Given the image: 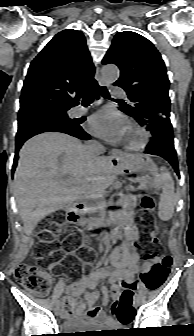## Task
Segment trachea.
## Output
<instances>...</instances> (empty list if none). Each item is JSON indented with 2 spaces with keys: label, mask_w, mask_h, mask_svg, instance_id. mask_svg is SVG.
I'll use <instances>...</instances> for the list:
<instances>
[{
  "label": "trachea",
  "mask_w": 194,
  "mask_h": 336,
  "mask_svg": "<svg viewBox=\"0 0 194 336\" xmlns=\"http://www.w3.org/2000/svg\"><path fill=\"white\" fill-rule=\"evenodd\" d=\"M100 94L105 98V99H110L109 92L105 86H102L100 89ZM93 101V97L88 95L83 98V103H91Z\"/></svg>",
  "instance_id": "trachea-1"
}]
</instances>
